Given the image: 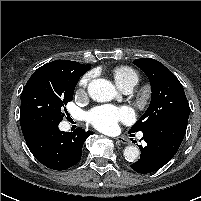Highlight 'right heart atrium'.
<instances>
[{
  "instance_id": "obj_1",
  "label": "right heart atrium",
  "mask_w": 201,
  "mask_h": 201,
  "mask_svg": "<svg viewBox=\"0 0 201 201\" xmlns=\"http://www.w3.org/2000/svg\"><path fill=\"white\" fill-rule=\"evenodd\" d=\"M91 78H92V73H87L81 78L79 83L81 87L80 89L81 91H83L88 86V83L90 82Z\"/></svg>"
}]
</instances>
